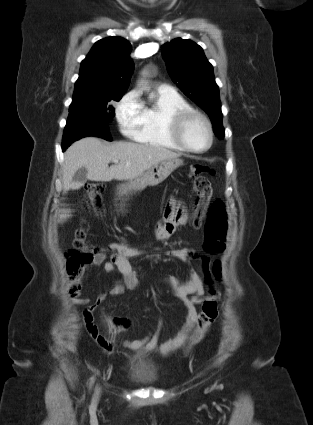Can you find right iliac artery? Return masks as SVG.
<instances>
[{
  "mask_svg": "<svg viewBox=\"0 0 313 425\" xmlns=\"http://www.w3.org/2000/svg\"><path fill=\"white\" fill-rule=\"evenodd\" d=\"M93 382H94V377L91 378V383L90 384H92Z\"/></svg>",
  "mask_w": 313,
  "mask_h": 425,
  "instance_id": "obj_1",
  "label": "right iliac artery"
}]
</instances>
